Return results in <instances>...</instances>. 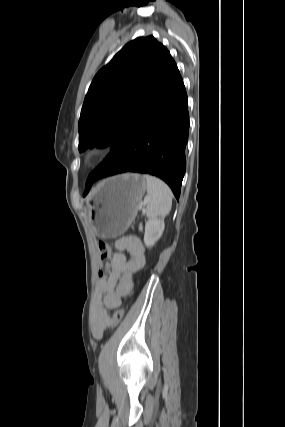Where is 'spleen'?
Here are the masks:
<instances>
[{
	"instance_id": "obj_1",
	"label": "spleen",
	"mask_w": 285,
	"mask_h": 427,
	"mask_svg": "<svg viewBox=\"0 0 285 427\" xmlns=\"http://www.w3.org/2000/svg\"><path fill=\"white\" fill-rule=\"evenodd\" d=\"M147 183L146 216L149 220L165 217L172 206V192L159 178L145 174Z\"/></svg>"
}]
</instances>
